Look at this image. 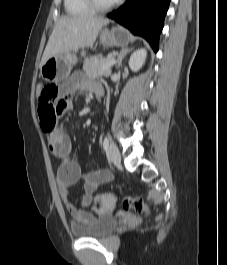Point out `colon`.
Here are the masks:
<instances>
[{"mask_svg": "<svg viewBox=\"0 0 227 265\" xmlns=\"http://www.w3.org/2000/svg\"><path fill=\"white\" fill-rule=\"evenodd\" d=\"M59 98V88L56 84H39L37 86L38 113L40 123L46 133L51 132L56 126L57 119L63 112H58L56 107ZM122 206L126 211L135 213L147 212L146 203L137 197L125 196Z\"/></svg>", "mask_w": 227, "mask_h": 265, "instance_id": "colon-1", "label": "colon"}]
</instances>
